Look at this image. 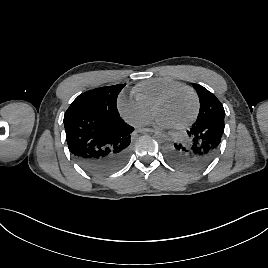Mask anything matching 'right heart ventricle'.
<instances>
[{"instance_id":"obj_1","label":"right heart ventricle","mask_w":268,"mask_h":268,"mask_svg":"<svg viewBox=\"0 0 268 268\" xmlns=\"http://www.w3.org/2000/svg\"><path fill=\"white\" fill-rule=\"evenodd\" d=\"M179 84L178 81L169 78H151L136 84L132 89V94L136 100L153 109L156 101L167 90Z\"/></svg>"}]
</instances>
